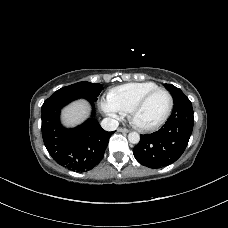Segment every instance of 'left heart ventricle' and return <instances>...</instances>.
Listing matches in <instances>:
<instances>
[{"mask_svg":"<svg viewBox=\"0 0 228 228\" xmlns=\"http://www.w3.org/2000/svg\"><path fill=\"white\" fill-rule=\"evenodd\" d=\"M167 107V94L165 92H157L138 110L135 120L143 126L152 125L163 117Z\"/></svg>","mask_w":228,"mask_h":228,"instance_id":"b2bd125f","label":"left heart ventricle"}]
</instances>
